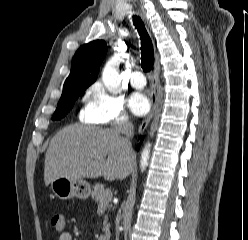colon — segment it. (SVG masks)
Here are the masks:
<instances>
[{"label": "colon", "mask_w": 248, "mask_h": 240, "mask_svg": "<svg viewBox=\"0 0 248 240\" xmlns=\"http://www.w3.org/2000/svg\"><path fill=\"white\" fill-rule=\"evenodd\" d=\"M51 224L56 232L62 233L65 229V219L62 214H55L51 219Z\"/></svg>", "instance_id": "1"}]
</instances>
